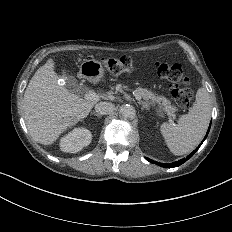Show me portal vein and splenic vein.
<instances>
[{
    "label": "portal vein and splenic vein",
    "instance_id": "18ae733b",
    "mask_svg": "<svg viewBox=\"0 0 232 232\" xmlns=\"http://www.w3.org/2000/svg\"><path fill=\"white\" fill-rule=\"evenodd\" d=\"M84 98L86 100H90V101H93V102H98L99 101V95L95 92H92V91H89L87 94H85ZM135 98L137 100H141V96L139 95H136Z\"/></svg>",
    "mask_w": 232,
    "mask_h": 232
}]
</instances>
